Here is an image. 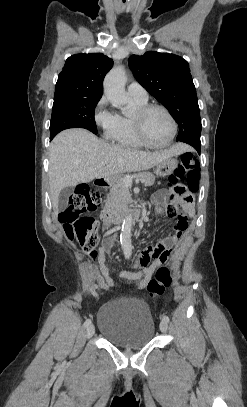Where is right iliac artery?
<instances>
[{
  "mask_svg": "<svg viewBox=\"0 0 247 407\" xmlns=\"http://www.w3.org/2000/svg\"><path fill=\"white\" fill-rule=\"evenodd\" d=\"M90 324H91V320H90V319H87V320L84 322V326H85V327H88Z\"/></svg>",
  "mask_w": 247,
  "mask_h": 407,
  "instance_id": "1",
  "label": "right iliac artery"
}]
</instances>
